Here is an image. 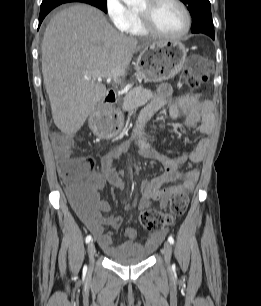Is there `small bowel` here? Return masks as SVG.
Segmentation results:
<instances>
[{
    "label": "small bowel",
    "instance_id": "1",
    "mask_svg": "<svg viewBox=\"0 0 261 306\" xmlns=\"http://www.w3.org/2000/svg\"><path fill=\"white\" fill-rule=\"evenodd\" d=\"M168 106L170 118L175 119L180 113L186 116L185 127L192 128L200 124L203 132H208L213 125V105L211 102L202 100L198 93L174 94L172 87L163 84L158 88L154 98L141 110L135 126V142L137 145L136 155L145 159H154L162 163L164 173L152 180H144L140 184L142 198L139 203L140 209L144 210L157 202L160 208L166 207L170 198L176 193H188L192 191L199 177V168L195 167L186 172L179 169L183 162L201 163L208 151L209 139L203 137L191 152H183L177 157H169L154 149L143 137L145 123L159 110ZM131 149L129 142H123L106 152L101 159V172L95 168L91 158H83L89 168L88 184L92 188L93 196L83 204L80 219L94 235L95 239L110 257L152 252L164 240L167 230H160L148 236L145 246L136 241V231L127 228L125 234L128 240L120 246H113V231L118 229L122 218L118 216H104L103 213L110 210L109 203L100 197L99 192L107 185L116 189H122L123 171L117 166L120 158ZM68 159L59 156V170ZM180 181L169 187L163 185Z\"/></svg>",
    "mask_w": 261,
    "mask_h": 306
}]
</instances>
